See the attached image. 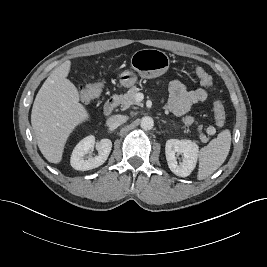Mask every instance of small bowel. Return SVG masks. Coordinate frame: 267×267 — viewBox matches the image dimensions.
Wrapping results in <instances>:
<instances>
[{
	"mask_svg": "<svg viewBox=\"0 0 267 267\" xmlns=\"http://www.w3.org/2000/svg\"><path fill=\"white\" fill-rule=\"evenodd\" d=\"M208 97L207 91L203 88L187 90L183 81L174 80L169 86V100L167 108L177 116L185 115L190 108Z\"/></svg>",
	"mask_w": 267,
	"mask_h": 267,
	"instance_id": "obj_1",
	"label": "small bowel"
}]
</instances>
